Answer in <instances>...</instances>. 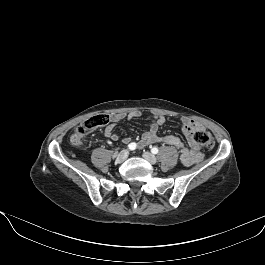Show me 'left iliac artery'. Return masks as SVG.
I'll use <instances>...</instances> for the list:
<instances>
[{
	"instance_id": "44dca946",
	"label": "left iliac artery",
	"mask_w": 265,
	"mask_h": 265,
	"mask_svg": "<svg viewBox=\"0 0 265 265\" xmlns=\"http://www.w3.org/2000/svg\"><path fill=\"white\" fill-rule=\"evenodd\" d=\"M158 148L157 147H153L152 149H151V152L153 153V154H157L158 153Z\"/></svg>"
}]
</instances>
